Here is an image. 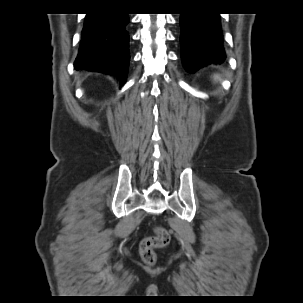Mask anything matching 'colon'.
<instances>
[{
    "label": "colon",
    "mask_w": 303,
    "mask_h": 303,
    "mask_svg": "<svg viewBox=\"0 0 303 303\" xmlns=\"http://www.w3.org/2000/svg\"><path fill=\"white\" fill-rule=\"evenodd\" d=\"M154 233L140 245L141 258L147 265H153L157 260L156 250L165 248L170 242V234L166 229L156 227Z\"/></svg>",
    "instance_id": "5ec220e1"
}]
</instances>
